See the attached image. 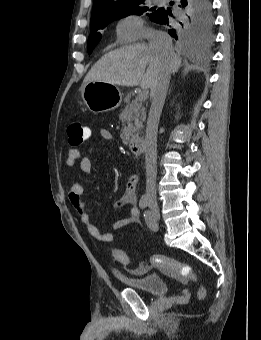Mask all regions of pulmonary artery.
Instances as JSON below:
<instances>
[{
  "label": "pulmonary artery",
  "mask_w": 261,
  "mask_h": 340,
  "mask_svg": "<svg viewBox=\"0 0 261 340\" xmlns=\"http://www.w3.org/2000/svg\"><path fill=\"white\" fill-rule=\"evenodd\" d=\"M155 2H160L161 0H154Z\"/></svg>",
  "instance_id": "pulmonary-artery-1"
}]
</instances>
